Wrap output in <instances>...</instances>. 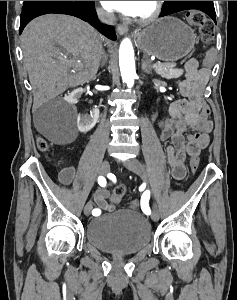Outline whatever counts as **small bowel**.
Segmentation results:
<instances>
[{"label": "small bowel", "mask_w": 237, "mask_h": 300, "mask_svg": "<svg viewBox=\"0 0 237 300\" xmlns=\"http://www.w3.org/2000/svg\"><path fill=\"white\" fill-rule=\"evenodd\" d=\"M185 79L177 82L184 99L174 101L169 106V116L157 124L158 137L168 142L166 155L173 177L182 180L186 175V157L198 155L209 143L213 130L210 108L204 100L206 86L211 76L208 66L199 67L197 60L189 59L183 66ZM188 129L193 133L186 134ZM62 185L74 184L77 188H89L90 180L78 179L75 168L65 167L58 173ZM92 204L102 210L113 211L109 188L100 187L93 195ZM137 205V203H134Z\"/></svg>", "instance_id": "obj_1"}]
</instances>
